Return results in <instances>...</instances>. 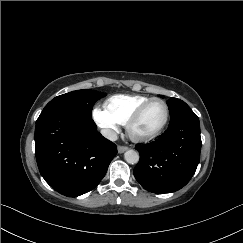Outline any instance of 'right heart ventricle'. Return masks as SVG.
Returning a JSON list of instances; mask_svg holds the SVG:
<instances>
[{
  "label": "right heart ventricle",
  "mask_w": 243,
  "mask_h": 243,
  "mask_svg": "<svg viewBox=\"0 0 243 243\" xmlns=\"http://www.w3.org/2000/svg\"><path fill=\"white\" fill-rule=\"evenodd\" d=\"M151 97L144 95L118 94L105 102V109L120 123L126 124L128 118Z\"/></svg>",
  "instance_id": "obj_1"
}]
</instances>
